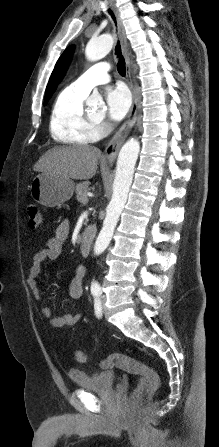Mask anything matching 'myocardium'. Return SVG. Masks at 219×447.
I'll list each match as a JSON object with an SVG mask.
<instances>
[{"mask_svg": "<svg viewBox=\"0 0 219 447\" xmlns=\"http://www.w3.org/2000/svg\"><path fill=\"white\" fill-rule=\"evenodd\" d=\"M86 118L88 120V122L94 126H97L99 124L98 120L93 119L92 117H90L89 115H86Z\"/></svg>", "mask_w": 219, "mask_h": 447, "instance_id": "f54148a6", "label": "myocardium"}]
</instances>
